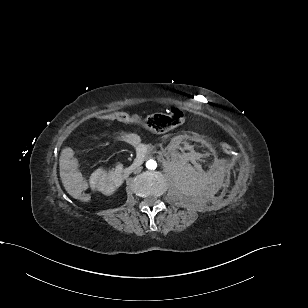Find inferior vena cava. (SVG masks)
I'll return each instance as SVG.
<instances>
[{
    "instance_id": "1",
    "label": "inferior vena cava",
    "mask_w": 308,
    "mask_h": 308,
    "mask_svg": "<svg viewBox=\"0 0 308 308\" xmlns=\"http://www.w3.org/2000/svg\"><path fill=\"white\" fill-rule=\"evenodd\" d=\"M141 169H142L141 167H137V168L135 169V172H136V173H139V172H141Z\"/></svg>"
}]
</instances>
